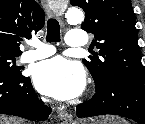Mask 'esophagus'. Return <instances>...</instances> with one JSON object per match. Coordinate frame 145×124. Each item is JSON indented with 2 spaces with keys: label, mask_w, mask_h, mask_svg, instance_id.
I'll return each mask as SVG.
<instances>
[{
  "label": "esophagus",
  "mask_w": 145,
  "mask_h": 124,
  "mask_svg": "<svg viewBox=\"0 0 145 124\" xmlns=\"http://www.w3.org/2000/svg\"><path fill=\"white\" fill-rule=\"evenodd\" d=\"M43 3L45 4L47 12L50 15L56 16L59 19L60 23L63 25L61 17L63 15L64 10L53 7L51 5L50 0H44ZM57 114L62 120H66V121H71L72 120V115L67 112L65 106H59L58 109H57Z\"/></svg>",
  "instance_id": "34e87169"
}]
</instances>
